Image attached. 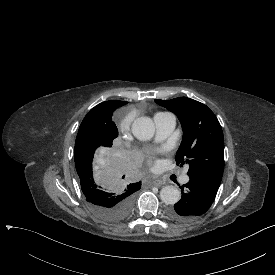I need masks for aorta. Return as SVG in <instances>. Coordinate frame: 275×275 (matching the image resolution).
<instances>
[{
  "mask_svg": "<svg viewBox=\"0 0 275 275\" xmlns=\"http://www.w3.org/2000/svg\"><path fill=\"white\" fill-rule=\"evenodd\" d=\"M132 133L140 141H146L153 138L155 134V125L152 119L148 117H139L132 124ZM161 200L167 205L177 203L181 198L180 191L172 186H165L160 191Z\"/></svg>",
  "mask_w": 275,
  "mask_h": 275,
  "instance_id": "1",
  "label": "aorta"
}]
</instances>
